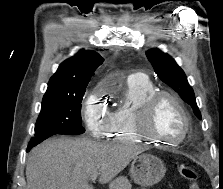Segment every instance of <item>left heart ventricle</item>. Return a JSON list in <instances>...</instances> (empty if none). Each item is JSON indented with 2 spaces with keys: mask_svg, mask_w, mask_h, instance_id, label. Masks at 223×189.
Masks as SVG:
<instances>
[{
  "mask_svg": "<svg viewBox=\"0 0 223 189\" xmlns=\"http://www.w3.org/2000/svg\"><path fill=\"white\" fill-rule=\"evenodd\" d=\"M150 130L167 140H176L184 131V119L177 106L169 99L159 101L152 117Z\"/></svg>",
  "mask_w": 223,
  "mask_h": 189,
  "instance_id": "left-heart-ventricle-1",
  "label": "left heart ventricle"
}]
</instances>
